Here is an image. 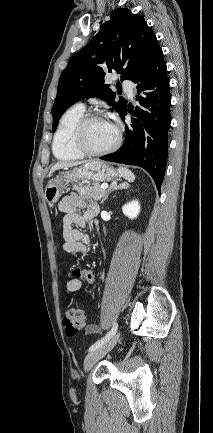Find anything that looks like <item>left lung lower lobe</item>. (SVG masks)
<instances>
[{
	"instance_id": "left-lung-lower-lobe-1",
	"label": "left lung lower lobe",
	"mask_w": 213,
	"mask_h": 433,
	"mask_svg": "<svg viewBox=\"0 0 213 433\" xmlns=\"http://www.w3.org/2000/svg\"><path fill=\"white\" fill-rule=\"evenodd\" d=\"M136 83L135 111L127 105L121 113L130 112L131 124L125 125L126 137L122 147L100 159L144 168L154 179L158 191L167 164L168 130L170 128V89L167 66L162 49L158 47L146 65L131 80Z\"/></svg>"
}]
</instances>
